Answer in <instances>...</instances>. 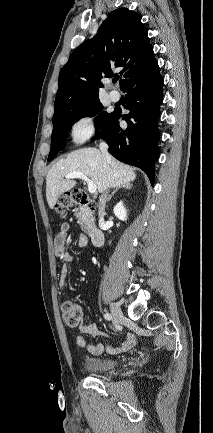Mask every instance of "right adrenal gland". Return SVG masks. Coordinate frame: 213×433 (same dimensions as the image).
<instances>
[{
	"instance_id": "1",
	"label": "right adrenal gland",
	"mask_w": 213,
	"mask_h": 433,
	"mask_svg": "<svg viewBox=\"0 0 213 433\" xmlns=\"http://www.w3.org/2000/svg\"><path fill=\"white\" fill-rule=\"evenodd\" d=\"M120 189H131V184L128 183V184H125V185H122V186L117 187V188H116V189L111 193V195L108 196V198L106 199V201H110L111 198L114 196V194H115L118 190H120Z\"/></svg>"
}]
</instances>
